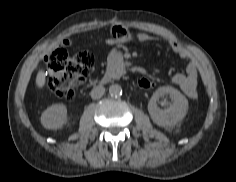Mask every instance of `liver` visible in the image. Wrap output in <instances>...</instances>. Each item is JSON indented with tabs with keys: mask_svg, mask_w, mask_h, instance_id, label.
Segmentation results:
<instances>
[{
	"mask_svg": "<svg viewBox=\"0 0 236 182\" xmlns=\"http://www.w3.org/2000/svg\"><path fill=\"white\" fill-rule=\"evenodd\" d=\"M45 82H46V78H45L44 70L41 69L37 73L35 83L38 88H43L45 85Z\"/></svg>",
	"mask_w": 236,
	"mask_h": 182,
	"instance_id": "6515ba94",
	"label": "liver"
}]
</instances>
